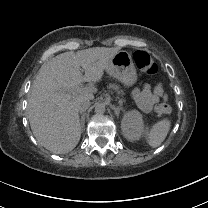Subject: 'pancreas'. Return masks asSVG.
<instances>
[{"instance_id":"cf45deb5","label":"pancreas","mask_w":208,"mask_h":208,"mask_svg":"<svg viewBox=\"0 0 208 208\" xmlns=\"http://www.w3.org/2000/svg\"><path fill=\"white\" fill-rule=\"evenodd\" d=\"M116 90L117 91V93L119 94V95H124L123 94V91L120 89V87L119 86H117V85H115V84H110L109 85V91L110 90Z\"/></svg>"}]
</instances>
